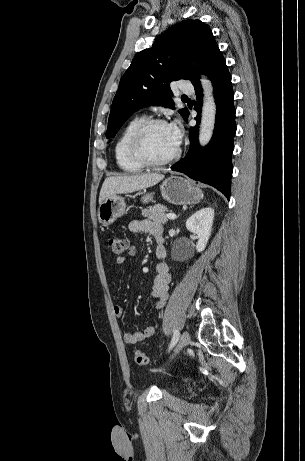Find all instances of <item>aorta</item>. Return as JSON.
<instances>
[{
  "instance_id": "762f6f07",
  "label": "aorta",
  "mask_w": 305,
  "mask_h": 461,
  "mask_svg": "<svg viewBox=\"0 0 305 461\" xmlns=\"http://www.w3.org/2000/svg\"><path fill=\"white\" fill-rule=\"evenodd\" d=\"M201 84L204 90V102L201 114V124L199 130V142L202 146L208 144L212 138L215 117H216V105L213 97V88L211 82L201 75Z\"/></svg>"
}]
</instances>
